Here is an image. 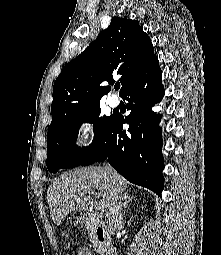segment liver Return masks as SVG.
I'll list each match as a JSON object with an SVG mask.
<instances>
[{
  "mask_svg": "<svg viewBox=\"0 0 221 255\" xmlns=\"http://www.w3.org/2000/svg\"><path fill=\"white\" fill-rule=\"evenodd\" d=\"M127 187L128 181L113 168L109 173L100 166L65 172L54 179L47 190L52 220L59 226L70 212L85 210L93 194L100 198L102 208L107 211L114 191L119 188L123 192Z\"/></svg>",
  "mask_w": 221,
  "mask_h": 255,
  "instance_id": "obj_1",
  "label": "liver"
}]
</instances>
